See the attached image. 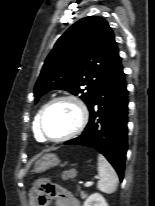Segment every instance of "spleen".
<instances>
[{
	"label": "spleen",
	"instance_id": "obj_1",
	"mask_svg": "<svg viewBox=\"0 0 155 206\" xmlns=\"http://www.w3.org/2000/svg\"><path fill=\"white\" fill-rule=\"evenodd\" d=\"M99 181L97 189L104 193H114L118 186V176L103 155H98Z\"/></svg>",
	"mask_w": 155,
	"mask_h": 206
}]
</instances>
